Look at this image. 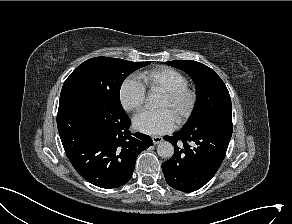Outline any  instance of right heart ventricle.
<instances>
[{"label": "right heart ventricle", "mask_w": 292, "mask_h": 224, "mask_svg": "<svg viewBox=\"0 0 292 224\" xmlns=\"http://www.w3.org/2000/svg\"><path fill=\"white\" fill-rule=\"evenodd\" d=\"M144 85L150 90L168 91L187 87L188 79L179 71L170 67H158L140 75Z\"/></svg>", "instance_id": "right-heart-ventricle-1"}]
</instances>
